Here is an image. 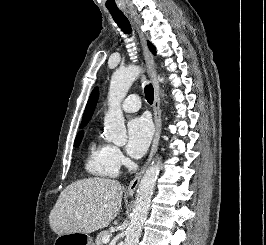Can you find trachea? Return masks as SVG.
Wrapping results in <instances>:
<instances>
[{"label": "trachea", "mask_w": 266, "mask_h": 245, "mask_svg": "<svg viewBox=\"0 0 266 245\" xmlns=\"http://www.w3.org/2000/svg\"><path fill=\"white\" fill-rule=\"evenodd\" d=\"M113 19L118 24V26L124 31L125 33H131V27L126 19V17L122 13H111ZM145 96L146 100L149 103H153L154 100V89L151 84L145 86Z\"/></svg>", "instance_id": "trachea-1"}]
</instances>
